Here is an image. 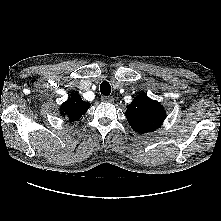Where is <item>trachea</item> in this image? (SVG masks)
<instances>
[{
    "mask_svg": "<svg viewBox=\"0 0 221 221\" xmlns=\"http://www.w3.org/2000/svg\"><path fill=\"white\" fill-rule=\"evenodd\" d=\"M100 92H101V94L106 95V96L110 95L111 86H110L109 82L104 81L100 84Z\"/></svg>",
    "mask_w": 221,
    "mask_h": 221,
    "instance_id": "3493384b",
    "label": "trachea"
}]
</instances>
